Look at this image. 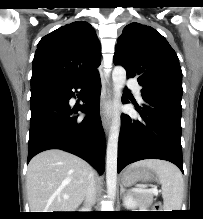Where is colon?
<instances>
[{"instance_id": "5ec220e1", "label": "colon", "mask_w": 203, "mask_h": 219, "mask_svg": "<svg viewBox=\"0 0 203 219\" xmlns=\"http://www.w3.org/2000/svg\"><path fill=\"white\" fill-rule=\"evenodd\" d=\"M154 209H155V211H160L161 210V204L160 203L155 204Z\"/></svg>"}]
</instances>
